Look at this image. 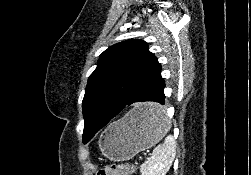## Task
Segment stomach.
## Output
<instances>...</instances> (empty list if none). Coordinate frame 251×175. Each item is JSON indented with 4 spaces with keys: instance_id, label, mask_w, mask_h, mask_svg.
<instances>
[{
    "instance_id": "stomach-1",
    "label": "stomach",
    "mask_w": 251,
    "mask_h": 175,
    "mask_svg": "<svg viewBox=\"0 0 251 175\" xmlns=\"http://www.w3.org/2000/svg\"><path fill=\"white\" fill-rule=\"evenodd\" d=\"M154 100H141L122 119L110 123L99 137L102 155L111 161H127L136 153L155 145L164 134H172L165 114H151L153 111H167V106H152Z\"/></svg>"
}]
</instances>
